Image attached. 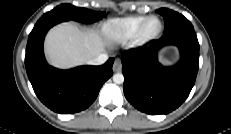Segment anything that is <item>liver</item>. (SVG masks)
Wrapping results in <instances>:
<instances>
[{
    "instance_id": "6515ba94",
    "label": "liver",
    "mask_w": 231,
    "mask_h": 134,
    "mask_svg": "<svg viewBox=\"0 0 231 134\" xmlns=\"http://www.w3.org/2000/svg\"><path fill=\"white\" fill-rule=\"evenodd\" d=\"M107 44L95 29L80 30L72 23H61L46 35L44 48L49 63L58 68H71L88 63L101 54Z\"/></svg>"
}]
</instances>
